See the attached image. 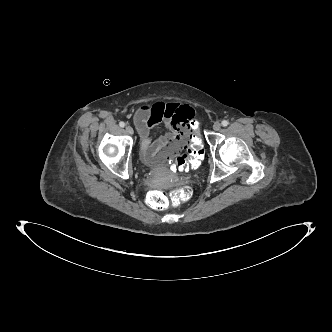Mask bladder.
<instances>
[{
    "label": "bladder",
    "mask_w": 332,
    "mask_h": 332,
    "mask_svg": "<svg viewBox=\"0 0 332 332\" xmlns=\"http://www.w3.org/2000/svg\"><path fill=\"white\" fill-rule=\"evenodd\" d=\"M143 161L146 165H148L150 167H158L160 165V163L148 161L144 157H143Z\"/></svg>",
    "instance_id": "bladder-1"
}]
</instances>
